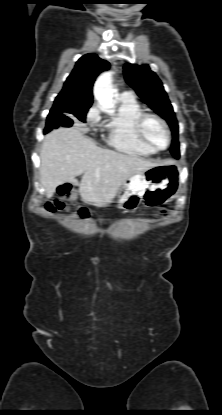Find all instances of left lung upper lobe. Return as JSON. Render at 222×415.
Instances as JSON below:
<instances>
[{"label": "left lung upper lobe", "instance_id": "1", "mask_svg": "<svg viewBox=\"0 0 222 415\" xmlns=\"http://www.w3.org/2000/svg\"><path fill=\"white\" fill-rule=\"evenodd\" d=\"M124 76L142 101L168 122L173 135L171 153L178 158V123L162 82L148 65L127 63L124 66Z\"/></svg>", "mask_w": 222, "mask_h": 415}]
</instances>
